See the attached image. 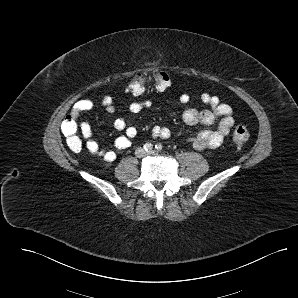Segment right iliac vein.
<instances>
[{"label":"right iliac vein","mask_w":298,"mask_h":298,"mask_svg":"<svg viewBox=\"0 0 298 298\" xmlns=\"http://www.w3.org/2000/svg\"><path fill=\"white\" fill-rule=\"evenodd\" d=\"M145 154L146 153L142 148H139L138 150H136V155L139 157H143Z\"/></svg>","instance_id":"1"}]
</instances>
